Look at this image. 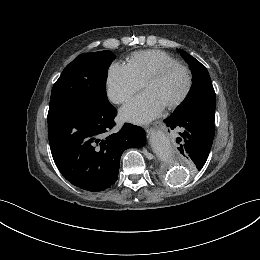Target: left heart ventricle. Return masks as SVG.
<instances>
[{
    "instance_id": "obj_1",
    "label": "left heart ventricle",
    "mask_w": 260,
    "mask_h": 260,
    "mask_svg": "<svg viewBox=\"0 0 260 260\" xmlns=\"http://www.w3.org/2000/svg\"><path fill=\"white\" fill-rule=\"evenodd\" d=\"M186 85V74L182 70H177L159 82L146 85L144 92L150 93L163 107H166L183 93Z\"/></svg>"
}]
</instances>
